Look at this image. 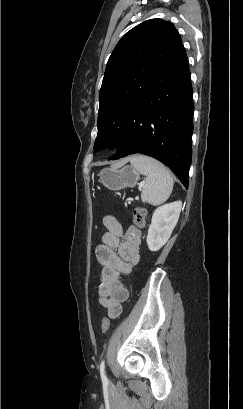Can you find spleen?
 Wrapping results in <instances>:
<instances>
[{
    "instance_id": "1",
    "label": "spleen",
    "mask_w": 243,
    "mask_h": 409,
    "mask_svg": "<svg viewBox=\"0 0 243 409\" xmlns=\"http://www.w3.org/2000/svg\"><path fill=\"white\" fill-rule=\"evenodd\" d=\"M129 160L139 173L146 176L142 201L152 205L165 202L173 189V177L169 170L159 161L144 155H133Z\"/></svg>"
}]
</instances>
